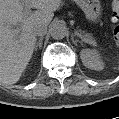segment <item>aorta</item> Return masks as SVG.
Listing matches in <instances>:
<instances>
[{"instance_id":"aorta-1","label":"aorta","mask_w":119,"mask_h":119,"mask_svg":"<svg viewBox=\"0 0 119 119\" xmlns=\"http://www.w3.org/2000/svg\"><path fill=\"white\" fill-rule=\"evenodd\" d=\"M50 34L53 39H63L67 35V28L61 23H54L50 28Z\"/></svg>"}]
</instances>
